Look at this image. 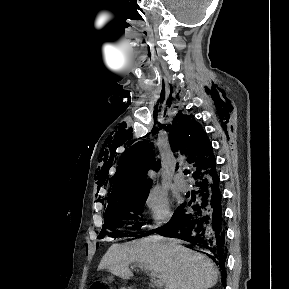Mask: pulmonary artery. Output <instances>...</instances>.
I'll use <instances>...</instances> for the list:
<instances>
[{
	"instance_id": "e3ab8cb5",
	"label": "pulmonary artery",
	"mask_w": 289,
	"mask_h": 289,
	"mask_svg": "<svg viewBox=\"0 0 289 289\" xmlns=\"http://www.w3.org/2000/svg\"><path fill=\"white\" fill-rule=\"evenodd\" d=\"M174 184L180 191H186L189 188L188 182L183 178L182 174L175 175Z\"/></svg>"
}]
</instances>
